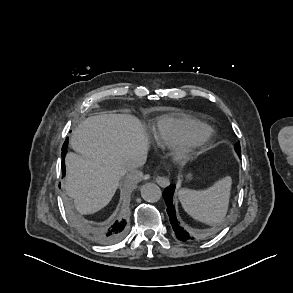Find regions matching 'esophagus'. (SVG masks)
<instances>
[{"label":"esophagus","mask_w":293,"mask_h":293,"mask_svg":"<svg viewBox=\"0 0 293 293\" xmlns=\"http://www.w3.org/2000/svg\"><path fill=\"white\" fill-rule=\"evenodd\" d=\"M156 182L161 186V187H167L170 184V181L167 177L165 176H157L156 177Z\"/></svg>","instance_id":"1"}]
</instances>
